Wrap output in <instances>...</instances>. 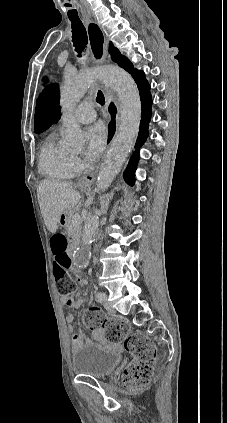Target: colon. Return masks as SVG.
<instances>
[{"mask_svg": "<svg viewBox=\"0 0 227 423\" xmlns=\"http://www.w3.org/2000/svg\"><path fill=\"white\" fill-rule=\"evenodd\" d=\"M51 250L54 256L53 268L58 291L61 296H71L75 292L76 283L70 272L72 259L64 234L56 233L52 236ZM84 322L88 327L106 331L113 339L124 338L125 350L133 357V361L124 370V382L131 389H140L150 382L156 349L146 336L141 333L129 334V328L125 322L108 319L95 307L85 312Z\"/></svg>", "mask_w": 227, "mask_h": 423, "instance_id": "colon-1", "label": "colon"}]
</instances>
